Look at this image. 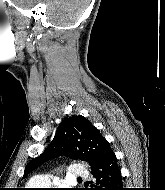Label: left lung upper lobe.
Wrapping results in <instances>:
<instances>
[{"label": "left lung upper lobe", "mask_w": 165, "mask_h": 190, "mask_svg": "<svg viewBox=\"0 0 165 190\" xmlns=\"http://www.w3.org/2000/svg\"><path fill=\"white\" fill-rule=\"evenodd\" d=\"M112 153L109 143L89 120L81 115L69 117L60 123L44 152L27 164L23 178L43 162L60 155L87 161L92 169Z\"/></svg>", "instance_id": "obj_1"}]
</instances>
